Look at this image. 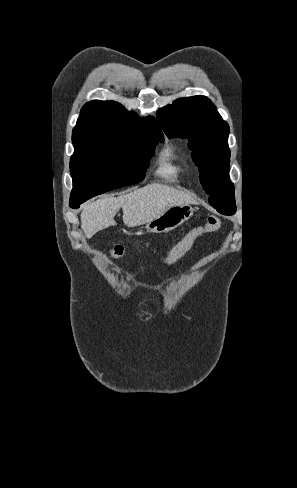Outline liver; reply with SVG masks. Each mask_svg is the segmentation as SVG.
<instances>
[{"mask_svg":"<svg viewBox=\"0 0 297 488\" xmlns=\"http://www.w3.org/2000/svg\"><path fill=\"white\" fill-rule=\"evenodd\" d=\"M194 203L187 193L162 184H149L134 192L118 197H105L84 205L81 228L87 238L116 225L114 216L123 210V222L128 227L148 223L171 206Z\"/></svg>","mask_w":297,"mask_h":488,"instance_id":"1","label":"liver"}]
</instances>
